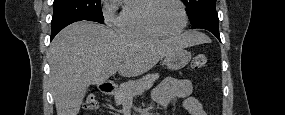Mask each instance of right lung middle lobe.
I'll return each mask as SVG.
<instances>
[{
	"mask_svg": "<svg viewBox=\"0 0 285 115\" xmlns=\"http://www.w3.org/2000/svg\"><path fill=\"white\" fill-rule=\"evenodd\" d=\"M53 8L52 28L78 20L104 23L100 0H54Z\"/></svg>",
	"mask_w": 285,
	"mask_h": 115,
	"instance_id": "obj_1",
	"label": "right lung middle lobe"
}]
</instances>
